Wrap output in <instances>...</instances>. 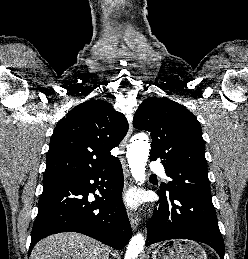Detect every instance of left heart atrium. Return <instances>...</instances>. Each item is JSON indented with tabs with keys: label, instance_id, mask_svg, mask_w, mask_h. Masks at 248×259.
<instances>
[{
	"label": "left heart atrium",
	"instance_id": "left-heart-atrium-1",
	"mask_svg": "<svg viewBox=\"0 0 248 259\" xmlns=\"http://www.w3.org/2000/svg\"><path fill=\"white\" fill-rule=\"evenodd\" d=\"M126 201L129 205H135L137 204L138 202V196L135 192H129L127 195H126Z\"/></svg>",
	"mask_w": 248,
	"mask_h": 259
}]
</instances>
